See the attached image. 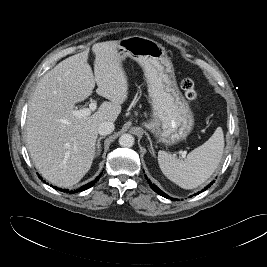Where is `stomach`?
<instances>
[{
    "label": "stomach",
    "instance_id": "1",
    "mask_svg": "<svg viewBox=\"0 0 267 267\" xmlns=\"http://www.w3.org/2000/svg\"><path fill=\"white\" fill-rule=\"evenodd\" d=\"M121 61L130 57L143 69L152 107V119L145 126L167 145L183 141L194 128V115L176 82L173 64L158 42L131 36L119 41Z\"/></svg>",
    "mask_w": 267,
    "mask_h": 267
}]
</instances>
